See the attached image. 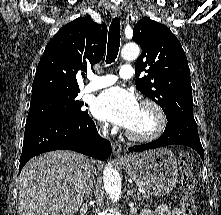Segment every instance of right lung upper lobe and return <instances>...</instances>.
Returning <instances> with one entry per match:
<instances>
[{
  "instance_id": "right-lung-upper-lobe-1",
  "label": "right lung upper lobe",
  "mask_w": 221,
  "mask_h": 215,
  "mask_svg": "<svg viewBox=\"0 0 221 215\" xmlns=\"http://www.w3.org/2000/svg\"><path fill=\"white\" fill-rule=\"evenodd\" d=\"M107 42L106 24L79 17L63 26L48 42L32 85V99L79 92L76 75L99 62Z\"/></svg>"
}]
</instances>
